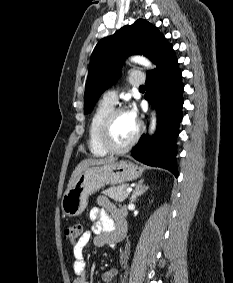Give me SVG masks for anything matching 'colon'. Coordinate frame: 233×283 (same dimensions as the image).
Here are the masks:
<instances>
[{
	"label": "colon",
	"instance_id": "1",
	"mask_svg": "<svg viewBox=\"0 0 233 283\" xmlns=\"http://www.w3.org/2000/svg\"><path fill=\"white\" fill-rule=\"evenodd\" d=\"M82 232H83V225H82V223L81 222H76V223L68 226L64 230L63 237H64V239L66 241H68L70 243H75L82 236Z\"/></svg>",
	"mask_w": 233,
	"mask_h": 283
}]
</instances>
